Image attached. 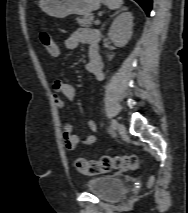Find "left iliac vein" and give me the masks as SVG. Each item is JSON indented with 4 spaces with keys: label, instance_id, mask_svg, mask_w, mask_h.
<instances>
[{
    "label": "left iliac vein",
    "instance_id": "4c4485c4",
    "mask_svg": "<svg viewBox=\"0 0 188 213\" xmlns=\"http://www.w3.org/2000/svg\"><path fill=\"white\" fill-rule=\"evenodd\" d=\"M116 127H117V130L120 134H125L126 128H125L124 124L117 123Z\"/></svg>",
    "mask_w": 188,
    "mask_h": 213
}]
</instances>
